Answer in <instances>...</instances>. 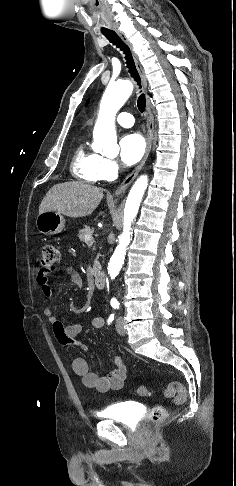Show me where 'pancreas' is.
I'll use <instances>...</instances> for the list:
<instances>
[{"label":"pancreas","mask_w":236,"mask_h":486,"mask_svg":"<svg viewBox=\"0 0 236 486\" xmlns=\"http://www.w3.org/2000/svg\"><path fill=\"white\" fill-rule=\"evenodd\" d=\"M93 232H94L93 229H91L89 226H85V228H83L79 231L78 237H79L80 241L85 242L88 246H91L93 241L91 240L89 242H86L85 237L86 236H92ZM95 267H98L97 262L95 264Z\"/></svg>","instance_id":"cf45deb5"}]
</instances>
